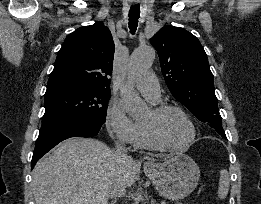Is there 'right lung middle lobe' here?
<instances>
[{
	"label": "right lung middle lobe",
	"instance_id": "obj_1",
	"mask_svg": "<svg viewBox=\"0 0 261 204\" xmlns=\"http://www.w3.org/2000/svg\"><path fill=\"white\" fill-rule=\"evenodd\" d=\"M109 90L78 89L45 94L42 125L72 119L105 123Z\"/></svg>",
	"mask_w": 261,
	"mask_h": 204
}]
</instances>
